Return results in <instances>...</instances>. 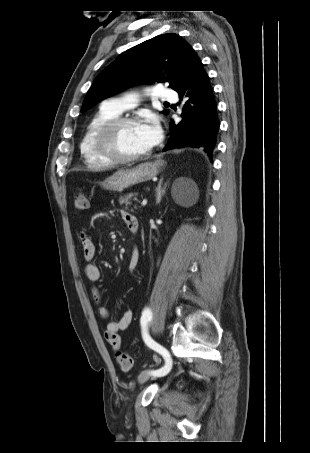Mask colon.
<instances>
[{
  "instance_id": "1",
  "label": "colon",
  "mask_w": 310,
  "mask_h": 453,
  "mask_svg": "<svg viewBox=\"0 0 310 453\" xmlns=\"http://www.w3.org/2000/svg\"><path fill=\"white\" fill-rule=\"evenodd\" d=\"M88 206H89V201H88L87 196L82 192L77 193L75 196V199H74L75 209L77 211H84L88 208ZM116 361L123 371H128L133 366L132 357L125 352H117Z\"/></svg>"
}]
</instances>
